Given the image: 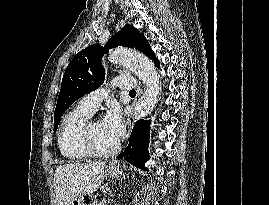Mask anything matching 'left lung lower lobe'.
<instances>
[{
    "instance_id": "1",
    "label": "left lung lower lobe",
    "mask_w": 269,
    "mask_h": 205,
    "mask_svg": "<svg viewBox=\"0 0 269 205\" xmlns=\"http://www.w3.org/2000/svg\"><path fill=\"white\" fill-rule=\"evenodd\" d=\"M159 68V61H155ZM150 121L139 120L135 123L131 132L130 142L124 152L117 156V159H124L132 165L147 170L145 162L150 158L148 155Z\"/></svg>"
}]
</instances>
